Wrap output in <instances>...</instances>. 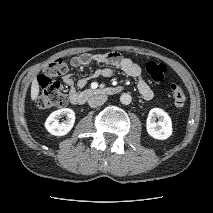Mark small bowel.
<instances>
[{
  "instance_id": "obj_1",
  "label": "small bowel",
  "mask_w": 213,
  "mask_h": 213,
  "mask_svg": "<svg viewBox=\"0 0 213 213\" xmlns=\"http://www.w3.org/2000/svg\"><path fill=\"white\" fill-rule=\"evenodd\" d=\"M71 65L75 68L87 66L90 64H107L119 67L126 75L133 78L137 82V88L145 100L153 98V90L144 78L141 66L129 57H124L117 52H109L103 54L83 53L71 58ZM114 74V70L110 66L102 67L94 71L90 77H82L75 80L72 75L65 74L62 77L63 83L69 89L70 102L76 104L78 96V88L84 87L91 78L105 77L110 78Z\"/></svg>"
}]
</instances>
